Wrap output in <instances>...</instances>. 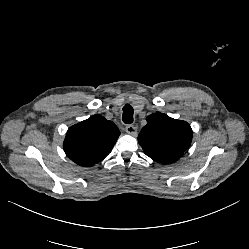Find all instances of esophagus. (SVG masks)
Instances as JSON below:
<instances>
[{
  "label": "esophagus",
  "instance_id": "esophagus-1",
  "mask_svg": "<svg viewBox=\"0 0 249 249\" xmlns=\"http://www.w3.org/2000/svg\"><path fill=\"white\" fill-rule=\"evenodd\" d=\"M125 130L128 134H131L133 136H135L137 134V128L136 126H134L133 124H128L126 127H125Z\"/></svg>",
  "mask_w": 249,
  "mask_h": 249
}]
</instances>
